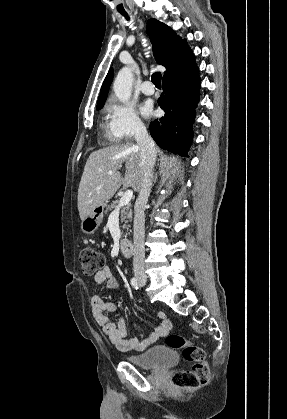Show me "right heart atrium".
<instances>
[{"label": "right heart atrium", "mask_w": 287, "mask_h": 419, "mask_svg": "<svg viewBox=\"0 0 287 419\" xmlns=\"http://www.w3.org/2000/svg\"><path fill=\"white\" fill-rule=\"evenodd\" d=\"M110 129L117 139L128 140L144 130L134 106L129 102L112 101L108 106Z\"/></svg>", "instance_id": "right-heart-atrium-1"}]
</instances>
